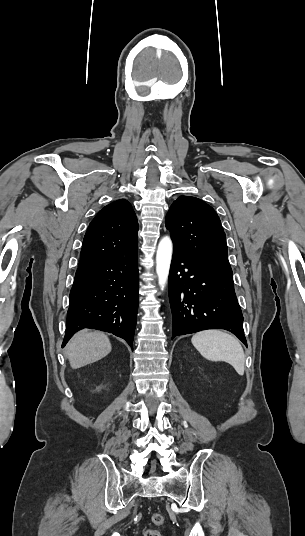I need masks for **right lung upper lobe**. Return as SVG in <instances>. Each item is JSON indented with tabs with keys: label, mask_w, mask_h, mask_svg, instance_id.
<instances>
[{
	"label": "right lung upper lobe",
	"mask_w": 305,
	"mask_h": 536,
	"mask_svg": "<svg viewBox=\"0 0 305 536\" xmlns=\"http://www.w3.org/2000/svg\"><path fill=\"white\" fill-rule=\"evenodd\" d=\"M137 232V218L127 200L105 206L88 227L78 267L137 251Z\"/></svg>",
	"instance_id": "cb5924a9"
}]
</instances>
